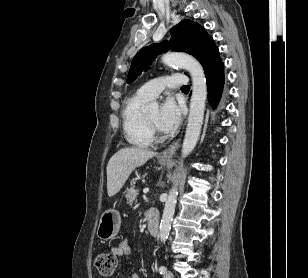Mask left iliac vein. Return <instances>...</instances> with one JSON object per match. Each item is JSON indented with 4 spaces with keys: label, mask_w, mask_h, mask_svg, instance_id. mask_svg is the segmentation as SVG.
<instances>
[{
    "label": "left iliac vein",
    "mask_w": 308,
    "mask_h": 278,
    "mask_svg": "<svg viewBox=\"0 0 308 278\" xmlns=\"http://www.w3.org/2000/svg\"><path fill=\"white\" fill-rule=\"evenodd\" d=\"M164 278H173V273L168 270L164 273Z\"/></svg>",
    "instance_id": "4c4485c4"
}]
</instances>
